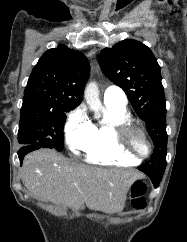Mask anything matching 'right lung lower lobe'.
Returning a JSON list of instances; mask_svg holds the SVG:
<instances>
[{"instance_id": "obj_1", "label": "right lung lower lobe", "mask_w": 187, "mask_h": 242, "mask_svg": "<svg viewBox=\"0 0 187 242\" xmlns=\"http://www.w3.org/2000/svg\"><path fill=\"white\" fill-rule=\"evenodd\" d=\"M40 148L41 147L31 146V145L23 146L22 148H20V150L18 151L20 163L22 164V160L27 153L40 149Z\"/></svg>"}]
</instances>
